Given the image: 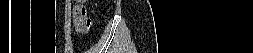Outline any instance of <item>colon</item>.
Here are the masks:
<instances>
[{
	"label": "colon",
	"instance_id": "obj_1",
	"mask_svg": "<svg viewBox=\"0 0 253 53\" xmlns=\"http://www.w3.org/2000/svg\"><path fill=\"white\" fill-rule=\"evenodd\" d=\"M89 11L85 5H78L74 10L76 28L80 31H87L91 27Z\"/></svg>",
	"mask_w": 253,
	"mask_h": 53
}]
</instances>
